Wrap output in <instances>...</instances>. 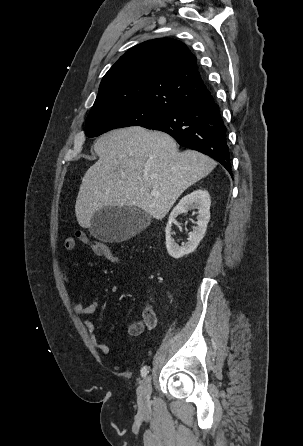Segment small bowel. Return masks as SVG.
Instances as JSON below:
<instances>
[{
    "label": "small bowel",
    "instance_id": "small-bowel-1",
    "mask_svg": "<svg viewBox=\"0 0 303 446\" xmlns=\"http://www.w3.org/2000/svg\"><path fill=\"white\" fill-rule=\"evenodd\" d=\"M76 238L97 255V251L99 248L98 241L92 240L83 230H78L76 232ZM75 245H76V239L74 237L69 236L65 238L63 246L67 252H72L75 249ZM63 277L65 282L71 285V281L66 271L63 272ZM72 308L78 316L91 315L95 313L99 308V298L98 296H96L89 305H85L84 302L81 300L72 301ZM156 324H157V317L154 308L150 303H148L143 309L142 317L140 319L133 320L129 323L128 333L131 336H138L142 334L143 331L146 329L152 330L153 328H155ZM85 325L86 329L91 335V339L95 344V346L102 353L104 354L109 353L110 351L109 345L107 343L98 342L95 337V330H96L95 324L92 321H87Z\"/></svg>",
    "mask_w": 303,
    "mask_h": 446
}]
</instances>
